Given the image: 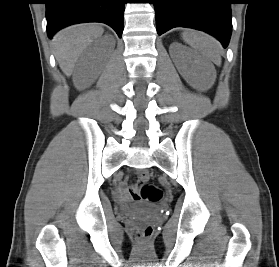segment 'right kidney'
<instances>
[{
  "instance_id": "right-kidney-1",
  "label": "right kidney",
  "mask_w": 279,
  "mask_h": 267,
  "mask_svg": "<svg viewBox=\"0 0 279 267\" xmlns=\"http://www.w3.org/2000/svg\"><path fill=\"white\" fill-rule=\"evenodd\" d=\"M92 55L90 57H84L82 62L80 63V66H79V70L82 72L83 71V74L84 76L88 73V68H89V60L91 59ZM82 76V77H84ZM84 86H82L83 88Z\"/></svg>"
}]
</instances>
